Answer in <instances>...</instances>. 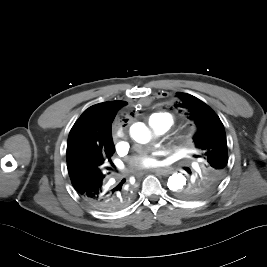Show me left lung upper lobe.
I'll return each mask as SVG.
<instances>
[{
  "label": "left lung upper lobe",
  "instance_id": "5c2ea615",
  "mask_svg": "<svg viewBox=\"0 0 267 267\" xmlns=\"http://www.w3.org/2000/svg\"><path fill=\"white\" fill-rule=\"evenodd\" d=\"M175 107L188 115L198 127L193 140L201 159V171L178 191L182 199L192 200L209 195L223 180L227 172L228 151L224 126L217 114L198 98L187 94H176Z\"/></svg>",
  "mask_w": 267,
  "mask_h": 267
}]
</instances>
